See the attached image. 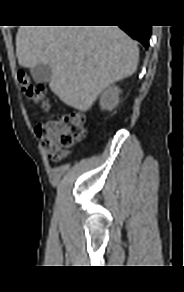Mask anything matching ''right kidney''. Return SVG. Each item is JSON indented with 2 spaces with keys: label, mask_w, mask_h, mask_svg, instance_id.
I'll return each mask as SVG.
<instances>
[{
  "label": "right kidney",
  "mask_w": 184,
  "mask_h": 292,
  "mask_svg": "<svg viewBox=\"0 0 184 292\" xmlns=\"http://www.w3.org/2000/svg\"><path fill=\"white\" fill-rule=\"evenodd\" d=\"M120 89L117 86H109L100 98V105L102 109L112 110L119 103Z\"/></svg>",
  "instance_id": "1"
}]
</instances>
